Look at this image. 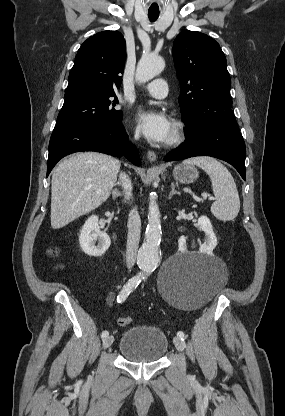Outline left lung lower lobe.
I'll use <instances>...</instances> for the list:
<instances>
[{
    "instance_id": "1",
    "label": "left lung lower lobe",
    "mask_w": 285,
    "mask_h": 416,
    "mask_svg": "<svg viewBox=\"0 0 285 416\" xmlns=\"http://www.w3.org/2000/svg\"><path fill=\"white\" fill-rule=\"evenodd\" d=\"M194 156H211L222 159L245 175L246 149L236 121L217 122L186 136L183 145L174 149L164 161L182 160Z\"/></svg>"
}]
</instances>
